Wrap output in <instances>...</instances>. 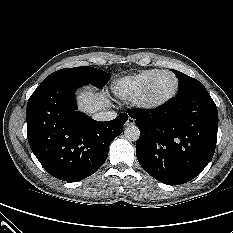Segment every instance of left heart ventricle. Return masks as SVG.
I'll use <instances>...</instances> for the list:
<instances>
[{
    "mask_svg": "<svg viewBox=\"0 0 233 233\" xmlns=\"http://www.w3.org/2000/svg\"><path fill=\"white\" fill-rule=\"evenodd\" d=\"M175 80L170 74H163L154 82L149 97L152 100H160L167 97L174 89Z\"/></svg>",
    "mask_w": 233,
    "mask_h": 233,
    "instance_id": "obj_1",
    "label": "left heart ventricle"
}]
</instances>
